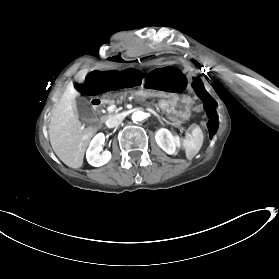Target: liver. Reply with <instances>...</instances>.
Instances as JSON below:
<instances>
[{"mask_svg":"<svg viewBox=\"0 0 279 279\" xmlns=\"http://www.w3.org/2000/svg\"><path fill=\"white\" fill-rule=\"evenodd\" d=\"M85 76L86 72L82 71L76 75L75 81L81 84ZM79 97L81 93L75 89L73 82H70L52 109L48 130L53 151L70 168L82 166L84 153L97 132L95 128L82 126L79 121L76 102Z\"/></svg>","mask_w":279,"mask_h":279,"instance_id":"6515ba94","label":"liver"}]
</instances>
